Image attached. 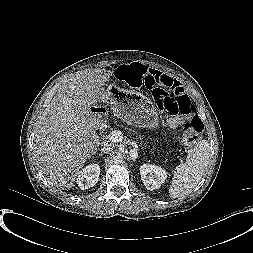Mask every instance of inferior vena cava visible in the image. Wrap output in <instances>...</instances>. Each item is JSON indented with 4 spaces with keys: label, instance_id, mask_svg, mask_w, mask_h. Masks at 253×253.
I'll use <instances>...</instances> for the list:
<instances>
[{
    "label": "inferior vena cava",
    "instance_id": "obj_1",
    "mask_svg": "<svg viewBox=\"0 0 253 253\" xmlns=\"http://www.w3.org/2000/svg\"><path fill=\"white\" fill-rule=\"evenodd\" d=\"M112 150H113V147H111V145L108 143L104 144V147L102 148V151L104 152H110Z\"/></svg>",
    "mask_w": 253,
    "mask_h": 253
}]
</instances>
